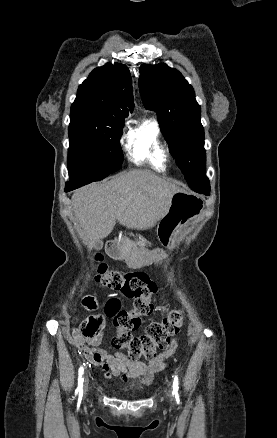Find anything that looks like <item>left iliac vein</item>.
<instances>
[{
    "instance_id": "left-iliac-vein-1",
    "label": "left iliac vein",
    "mask_w": 277,
    "mask_h": 438,
    "mask_svg": "<svg viewBox=\"0 0 277 438\" xmlns=\"http://www.w3.org/2000/svg\"><path fill=\"white\" fill-rule=\"evenodd\" d=\"M170 385H171V382L168 383V386H169L168 396H169V398L172 397V390H171V388H170Z\"/></svg>"
}]
</instances>
